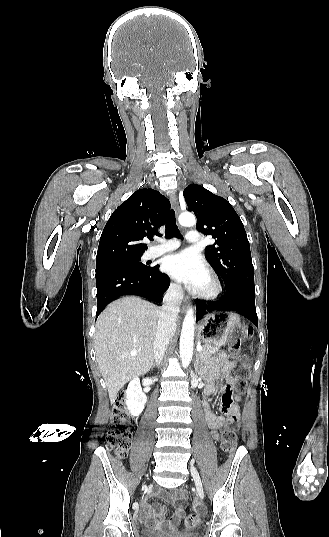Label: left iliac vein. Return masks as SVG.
<instances>
[{"instance_id": "obj_1", "label": "left iliac vein", "mask_w": 329, "mask_h": 537, "mask_svg": "<svg viewBox=\"0 0 329 537\" xmlns=\"http://www.w3.org/2000/svg\"><path fill=\"white\" fill-rule=\"evenodd\" d=\"M190 470H191V474L193 476V479L195 481L197 490H198V492H201L203 490V488H202V483H201V480H200V476H199L196 468L193 465H191Z\"/></svg>"}]
</instances>
